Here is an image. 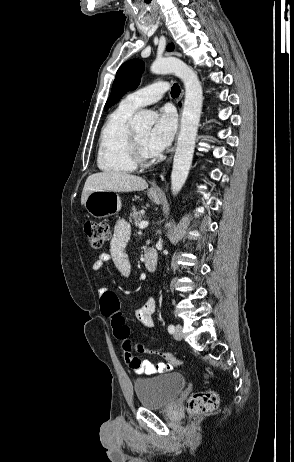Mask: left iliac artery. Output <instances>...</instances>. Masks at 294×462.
I'll list each match as a JSON object with an SVG mask.
<instances>
[{
    "instance_id": "44dca946",
    "label": "left iliac artery",
    "mask_w": 294,
    "mask_h": 462,
    "mask_svg": "<svg viewBox=\"0 0 294 462\" xmlns=\"http://www.w3.org/2000/svg\"><path fill=\"white\" fill-rule=\"evenodd\" d=\"M174 331H175L174 325L170 324V325L168 326V332H169L170 334H172V333H174Z\"/></svg>"
}]
</instances>
